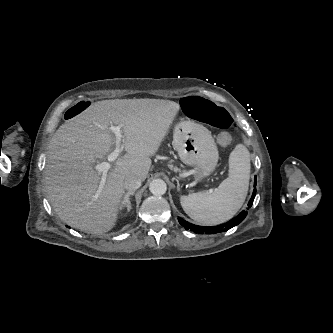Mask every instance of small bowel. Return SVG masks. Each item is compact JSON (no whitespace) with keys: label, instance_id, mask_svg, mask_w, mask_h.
Listing matches in <instances>:
<instances>
[{"label":"small bowel","instance_id":"small-bowel-1","mask_svg":"<svg viewBox=\"0 0 333 333\" xmlns=\"http://www.w3.org/2000/svg\"><path fill=\"white\" fill-rule=\"evenodd\" d=\"M212 142L219 147L231 146L234 143V136L229 130H222L219 135L213 137Z\"/></svg>","mask_w":333,"mask_h":333}]
</instances>
